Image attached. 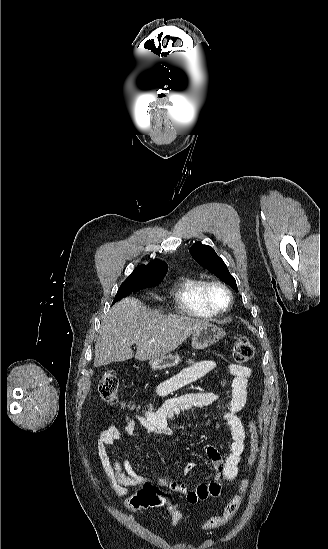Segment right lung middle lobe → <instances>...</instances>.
Wrapping results in <instances>:
<instances>
[{
	"mask_svg": "<svg viewBox=\"0 0 328 549\" xmlns=\"http://www.w3.org/2000/svg\"><path fill=\"white\" fill-rule=\"evenodd\" d=\"M165 275L166 272L149 268L133 272L118 289L113 304L132 292L159 284Z\"/></svg>",
	"mask_w": 328,
	"mask_h": 549,
	"instance_id": "dd1d6c3e",
	"label": "right lung middle lobe"
}]
</instances>
